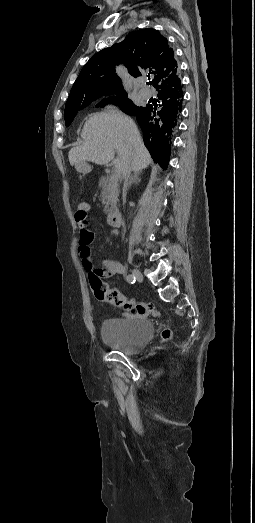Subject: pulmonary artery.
Wrapping results in <instances>:
<instances>
[{
  "label": "pulmonary artery",
  "mask_w": 255,
  "mask_h": 523,
  "mask_svg": "<svg viewBox=\"0 0 255 523\" xmlns=\"http://www.w3.org/2000/svg\"><path fill=\"white\" fill-rule=\"evenodd\" d=\"M142 84L144 85V87L139 90V95L143 99H147L148 100L155 94V90L150 88L149 86H146V80L145 79L142 81Z\"/></svg>",
  "instance_id": "1"
}]
</instances>
